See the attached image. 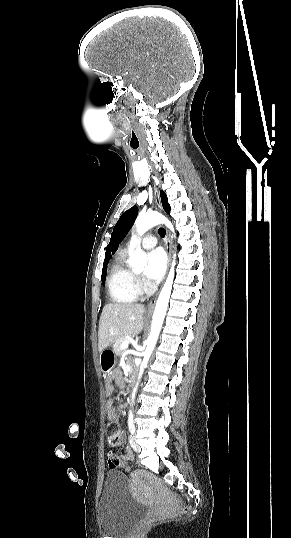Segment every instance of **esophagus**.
Masks as SVG:
<instances>
[{"label":"esophagus","mask_w":291,"mask_h":538,"mask_svg":"<svg viewBox=\"0 0 291 538\" xmlns=\"http://www.w3.org/2000/svg\"><path fill=\"white\" fill-rule=\"evenodd\" d=\"M154 197H155V202H156V205H157L158 209L162 211L163 208H162V204H161V198H160L159 189L155 185H154ZM165 246H166V251H167V255H168V266H169L170 258H171V235H170V232L168 230H166ZM156 299H157V295L154 298H152L150 300V302L148 303V310L149 311H152L154 309Z\"/></svg>","instance_id":"34e87169"}]
</instances>
